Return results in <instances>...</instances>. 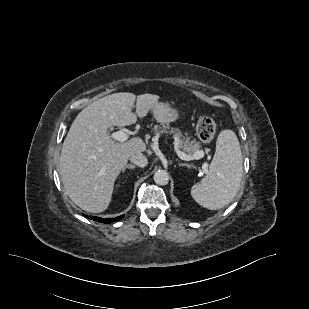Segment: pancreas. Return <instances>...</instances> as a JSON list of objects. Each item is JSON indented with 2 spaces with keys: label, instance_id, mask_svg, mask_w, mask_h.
Here are the masks:
<instances>
[{
  "label": "pancreas",
  "instance_id": "pancreas-1",
  "mask_svg": "<svg viewBox=\"0 0 309 309\" xmlns=\"http://www.w3.org/2000/svg\"><path fill=\"white\" fill-rule=\"evenodd\" d=\"M153 130L156 133L164 132L172 134L177 138L179 147L188 155H193L197 151H200V142H197L195 139L191 140V137L189 136H183L181 130L178 128H170L169 125H156Z\"/></svg>",
  "mask_w": 309,
  "mask_h": 309
}]
</instances>
